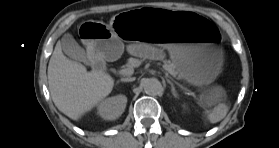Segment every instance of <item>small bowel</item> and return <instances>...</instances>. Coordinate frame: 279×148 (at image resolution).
I'll list each match as a JSON object with an SVG mask.
<instances>
[{
    "instance_id": "1",
    "label": "small bowel",
    "mask_w": 279,
    "mask_h": 148,
    "mask_svg": "<svg viewBox=\"0 0 279 148\" xmlns=\"http://www.w3.org/2000/svg\"><path fill=\"white\" fill-rule=\"evenodd\" d=\"M127 50L131 55L144 56L148 58H160L162 53L143 43H131L127 46Z\"/></svg>"
}]
</instances>
